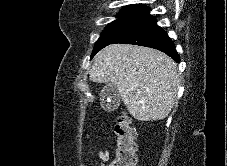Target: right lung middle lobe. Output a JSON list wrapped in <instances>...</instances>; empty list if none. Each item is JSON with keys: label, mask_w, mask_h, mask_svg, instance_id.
<instances>
[{"label": "right lung middle lobe", "mask_w": 227, "mask_h": 166, "mask_svg": "<svg viewBox=\"0 0 227 166\" xmlns=\"http://www.w3.org/2000/svg\"><path fill=\"white\" fill-rule=\"evenodd\" d=\"M118 16L120 18L110 23L97 40L92 56L151 17L149 8L142 5L126 6Z\"/></svg>", "instance_id": "1"}]
</instances>
